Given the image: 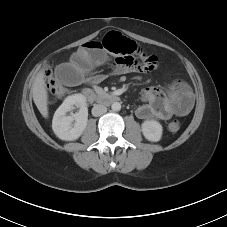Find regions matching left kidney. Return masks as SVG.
<instances>
[{"mask_svg": "<svg viewBox=\"0 0 227 227\" xmlns=\"http://www.w3.org/2000/svg\"><path fill=\"white\" fill-rule=\"evenodd\" d=\"M162 125L155 120H146L142 123V133L151 142H158L162 137Z\"/></svg>", "mask_w": 227, "mask_h": 227, "instance_id": "obj_1", "label": "left kidney"}]
</instances>
